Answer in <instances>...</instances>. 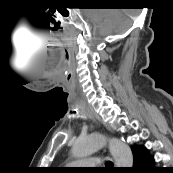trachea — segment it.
<instances>
[{"instance_id":"3493384b","label":"trachea","mask_w":173,"mask_h":173,"mask_svg":"<svg viewBox=\"0 0 173 173\" xmlns=\"http://www.w3.org/2000/svg\"><path fill=\"white\" fill-rule=\"evenodd\" d=\"M113 163L111 161L106 162V168H112Z\"/></svg>"}]
</instances>
